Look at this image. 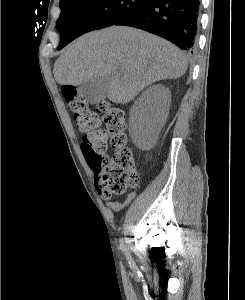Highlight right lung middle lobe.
Returning <instances> with one entry per match:
<instances>
[{
	"mask_svg": "<svg viewBox=\"0 0 245 300\" xmlns=\"http://www.w3.org/2000/svg\"><path fill=\"white\" fill-rule=\"evenodd\" d=\"M149 0H61L58 50L80 35L114 25Z\"/></svg>",
	"mask_w": 245,
	"mask_h": 300,
	"instance_id": "1",
	"label": "right lung middle lobe"
}]
</instances>
